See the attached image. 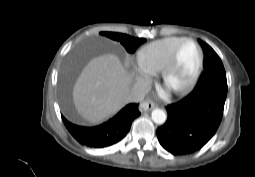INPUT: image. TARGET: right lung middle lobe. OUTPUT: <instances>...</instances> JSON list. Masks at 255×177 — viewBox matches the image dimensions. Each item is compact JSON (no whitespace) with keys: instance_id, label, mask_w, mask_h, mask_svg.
I'll list each match as a JSON object with an SVG mask.
<instances>
[{"instance_id":"obj_1","label":"right lung middle lobe","mask_w":255,"mask_h":177,"mask_svg":"<svg viewBox=\"0 0 255 177\" xmlns=\"http://www.w3.org/2000/svg\"><path fill=\"white\" fill-rule=\"evenodd\" d=\"M100 35L106 36L112 40L119 41L124 46L126 51L129 53H134L135 50L138 48V46L146 41L144 38H134L122 33L100 32ZM62 96H63V102L66 103L67 101L66 89L63 90Z\"/></svg>"}]
</instances>
